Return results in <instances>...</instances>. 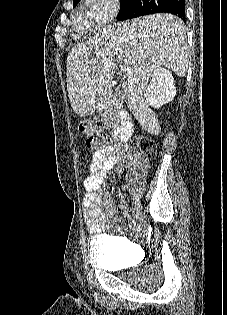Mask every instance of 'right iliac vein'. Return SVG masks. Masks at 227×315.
I'll list each match as a JSON object with an SVG mask.
<instances>
[{
	"instance_id": "63e3f726",
	"label": "right iliac vein",
	"mask_w": 227,
	"mask_h": 315,
	"mask_svg": "<svg viewBox=\"0 0 227 315\" xmlns=\"http://www.w3.org/2000/svg\"><path fill=\"white\" fill-rule=\"evenodd\" d=\"M142 212V206L140 203H138L136 206H135V209H134V212H133V215L134 217H139L140 214Z\"/></svg>"
}]
</instances>
